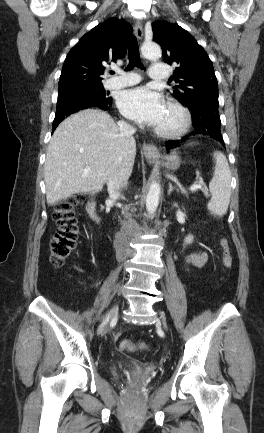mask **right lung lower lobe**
I'll return each mask as SVG.
<instances>
[{"label":"right lung lower lobe","instance_id":"right-lung-lower-lobe-1","mask_svg":"<svg viewBox=\"0 0 264 433\" xmlns=\"http://www.w3.org/2000/svg\"><path fill=\"white\" fill-rule=\"evenodd\" d=\"M112 104V98L100 99L98 97H78L69 102L63 103L62 108L63 112L56 114L55 119L52 126V132L56 129V127L64 120L68 115L75 113L79 110L86 108H99L102 110H108Z\"/></svg>","mask_w":264,"mask_h":433}]
</instances>
